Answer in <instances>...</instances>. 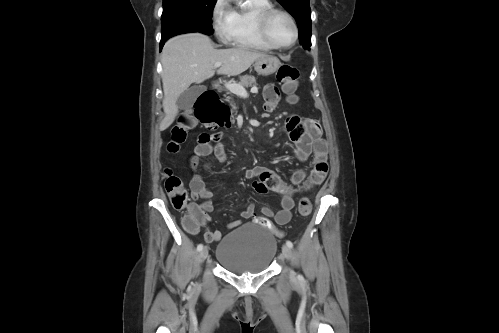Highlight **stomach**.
I'll return each mask as SVG.
<instances>
[{
	"instance_id": "0dacf381",
	"label": "stomach",
	"mask_w": 499,
	"mask_h": 333,
	"mask_svg": "<svg viewBox=\"0 0 499 333\" xmlns=\"http://www.w3.org/2000/svg\"><path fill=\"white\" fill-rule=\"evenodd\" d=\"M280 64L277 57L267 55L255 61L254 69L259 75L269 76L278 70Z\"/></svg>"
}]
</instances>
